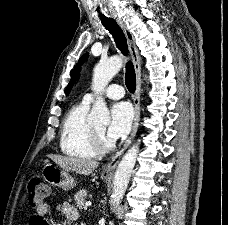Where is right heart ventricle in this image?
Listing matches in <instances>:
<instances>
[{"instance_id": "right-heart-ventricle-1", "label": "right heart ventricle", "mask_w": 228, "mask_h": 225, "mask_svg": "<svg viewBox=\"0 0 228 225\" xmlns=\"http://www.w3.org/2000/svg\"><path fill=\"white\" fill-rule=\"evenodd\" d=\"M89 103L81 100L67 112L60 135V150L69 157L90 159L99 155L93 126L87 121Z\"/></svg>"}]
</instances>
